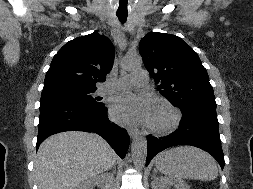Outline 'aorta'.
<instances>
[{
  "mask_svg": "<svg viewBox=\"0 0 253 189\" xmlns=\"http://www.w3.org/2000/svg\"><path fill=\"white\" fill-rule=\"evenodd\" d=\"M141 58L138 56L127 59L125 66L127 68H138L141 66ZM132 159L136 167H144L147 156V140L142 135H136L131 145Z\"/></svg>",
  "mask_w": 253,
  "mask_h": 189,
  "instance_id": "aorta-1",
  "label": "aorta"
}]
</instances>
